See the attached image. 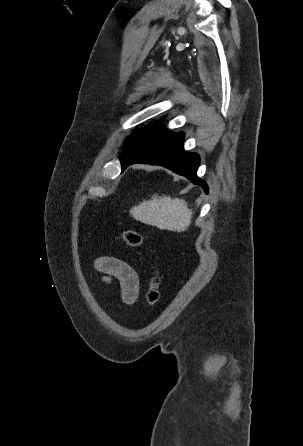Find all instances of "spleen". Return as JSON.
I'll return each instance as SVG.
<instances>
[{"label": "spleen", "instance_id": "3e777b00", "mask_svg": "<svg viewBox=\"0 0 303 446\" xmlns=\"http://www.w3.org/2000/svg\"><path fill=\"white\" fill-rule=\"evenodd\" d=\"M130 215L135 220L162 230L182 232L191 223L192 210L183 199L154 195L151 200L132 207Z\"/></svg>", "mask_w": 303, "mask_h": 446}]
</instances>
